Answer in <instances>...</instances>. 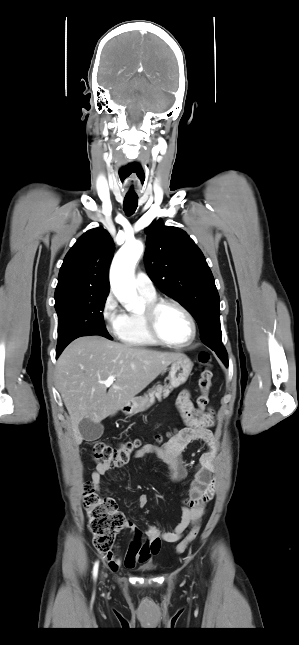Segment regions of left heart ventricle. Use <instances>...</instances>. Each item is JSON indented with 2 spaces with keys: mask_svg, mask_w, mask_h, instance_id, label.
<instances>
[{
  "mask_svg": "<svg viewBox=\"0 0 299 645\" xmlns=\"http://www.w3.org/2000/svg\"><path fill=\"white\" fill-rule=\"evenodd\" d=\"M160 334L171 342H184L191 334V326L185 314L174 306H165L158 316Z\"/></svg>",
  "mask_w": 299,
  "mask_h": 645,
  "instance_id": "b2bd125f",
  "label": "left heart ventricle"
}]
</instances>
